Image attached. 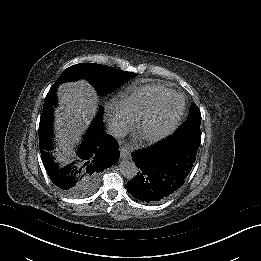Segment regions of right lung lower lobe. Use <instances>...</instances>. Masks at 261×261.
Returning a JSON list of instances; mask_svg holds the SVG:
<instances>
[{
  "label": "right lung lower lobe",
  "mask_w": 261,
  "mask_h": 261,
  "mask_svg": "<svg viewBox=\"0 0 261 261\" xmlns=\"http://www.w3.org/2000/svg\"><path fill=\"white\" fill-rule=\"evenodd\" d=\"M57 85L55 83L51 87L44 101L39 124V147L44 167L51 181L63 192L71 195L81 179L87 178L86 184L89 185L96 181L98 173L118 160L120 151L114 138L103 132V123L101 118L97 117L76 155L75 161L83 165L77 168L74 163L65 167L54 164L49 151L52 150V110L56 105Z\"/></svg>",
  "instance_id": "right-lung-lower-lobe-1"
}]
</instances>
